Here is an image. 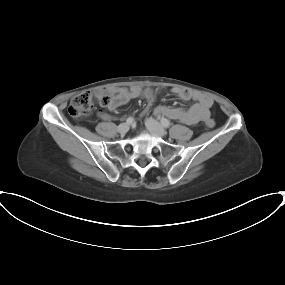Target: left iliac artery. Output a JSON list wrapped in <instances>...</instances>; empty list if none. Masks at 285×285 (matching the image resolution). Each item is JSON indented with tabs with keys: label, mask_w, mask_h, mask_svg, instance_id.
Returning a JSON list of instances; mask_svg holds the SVG:
<instances>
[{
	"label": "left iliac artery",
	"mask_w": 285,
	"mask_h": 285,
	"mask_svg": "<svg viewBox=\"0 0 285 285\" xmlns=\"http://www.w3.org/2000/svg\"><path fill=\"white\" fill-rule=\"evenodd\" d=\"M161 124L165 127V128H169L170 127V121L164 117H162L160 119Z\"/></svg>",
	"instance_id": "left-iliac-artery-1"
}]
</instances>
